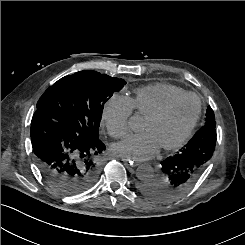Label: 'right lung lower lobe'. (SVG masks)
<instances>
[{
    "mask_svg": "<svg viewBox=\"0 0 245 245\" xmlns=\"http://www.w3.org/2000/svg\"><path fill=\"white\" fill-rule=\"evenodd\" d=\"M30 133L37 166L56 191L71 196L95 184L106 148L98 138L86 140L40 109L33 115Z\"/></svg>",
    "mask_w": 245,
    "mask_h": 245,
    "instance_id": "98d812e1",
    "label": "right lung lower lobe"
}]
</instances>
